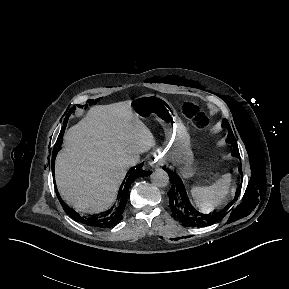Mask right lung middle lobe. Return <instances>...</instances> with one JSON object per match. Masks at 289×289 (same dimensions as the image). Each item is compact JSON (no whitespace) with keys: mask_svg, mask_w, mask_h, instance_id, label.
<instances>
[{"mask_svg":"<svg viewBox=\"0 0 289 289\" xmlns=\"http://www.w3.org/2000/svg\"><path fill=\"white\" fill-rule=\"evenodd\" d=\"M72 109L75 110L74 108H72ZM72 109H71V110H72ZM72 112H73V111H72ZM67 120H68V117L65 118L64 123H66Z\"/></svg>","mask_w":289,"mask_h":289,"instance_id":"obj_1","label":"right lung middle lobe"}]
</instances>
